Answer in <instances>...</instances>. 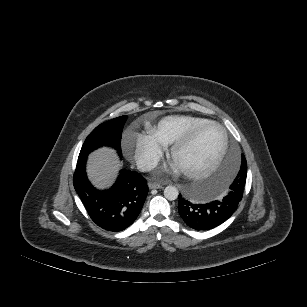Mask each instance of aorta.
<instances>
[{"mask_svg":"<svg viewBox=\"0 0 307 307\" xmlns=\"http://www.w3.org/2000/svg\"><path fill=\"white\" fill-rule=\"evenodd\" d=\"M178 195L179 192L175 186L169 185L164 189V197L169 201L176 200Z\"/></svg>","mask_w":307,"mask_h":307,"instance_id":"1","label":"aorta"}]
</instances>
